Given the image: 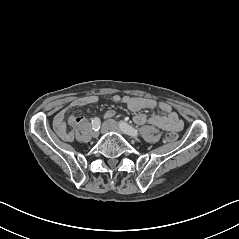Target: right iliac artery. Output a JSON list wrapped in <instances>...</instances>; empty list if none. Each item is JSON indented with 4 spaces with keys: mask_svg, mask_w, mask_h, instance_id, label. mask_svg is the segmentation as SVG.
Segmentation results:
<instances>
[{
    "mask_svg": "<svg viewBox=\"0 0 239 239\" xmlns=\"http://www.w3.org/2000/svg\"><path fill=\"white\" fill-rule=\"evenodd\" d=\"M91 125H92V129L94 131H98L101 127V122H100V119L95 117L92 122H91Z\"/></svg>",
    "mask_w": 239,
    "mask_h": 239,
    "instance_id": "right-iliac-artery-1",
    "label": "right iliac artery"
}]
</instances>
